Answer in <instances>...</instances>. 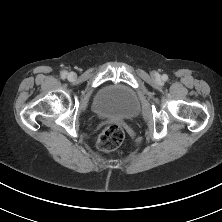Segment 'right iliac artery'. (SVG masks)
<instances>
[{
  "instance_id": "obj_1",
  "label": "right iliac artery",
  "mask_w": 222,
  "mask_h": 222,
  "mask_svg": "<svg viewBox=\"0 0 222 222\" xmlns=\"http://www.w3.org/2000/svg\"><path fill=\"white\" fill-rule=\"evenodd\" d=\"M66 76H67V72H66V71H62V72H61V77H62V78H65Z\"/></svg>"
}]
</instances>
